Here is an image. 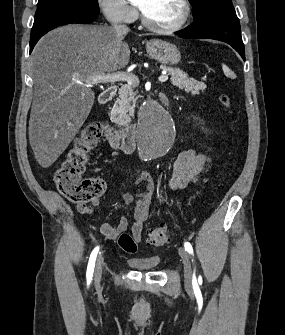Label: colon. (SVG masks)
Wrapping results in <instances>:
<instances>
[{"instance_id": "colon-1", "label": "colon", "mask_w": 285, "mask_h": 335, "mask_svg": "<svg viewBox=\"0 0 285 335\" xmlns=\"http://www.w3.org/2000/svg\"><path fill=\"white\" fill-rule=\"evenodd\" d=\"M223 106L230 105L226 94L220 95ZM102 137V126L93 122L86 125L65 160L54 172V182L60 193L77 204H87L100 197L105 190V182L97 177H84L89 153L97 146ZM170 239L168 231L163 228H153L147 232L148 242L156 247L165 245ZM119 247L127 253H136L138 243L132 234L121 233L117 238Z\"/></svg>"}]
</instances>
